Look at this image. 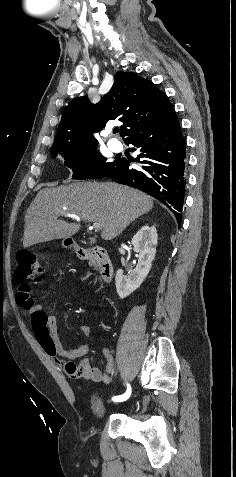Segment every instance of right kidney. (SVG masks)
Masks as SVG:
<instances>
[{"label":"right kidney","instance_id":"right-kidney-1","mask_svg":"<svg viewBox=\"0 0 236 477\" xmlns=\"http://www.w3.org/2000/svg\"><path fill=\"white\" fill-rule=\"evenodd\" d=\"M157 241L158 235L155 226L148 225L143 226L132 238L134 251L138 253V264L128 276L123 275L122 269L116 273L115 285L121 299L138 289L147 277L155 258Z\"/></svg>","mask_w":236,"mask_h":477}]
</instances>
